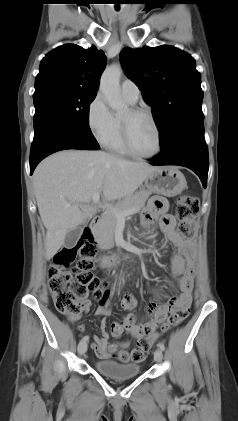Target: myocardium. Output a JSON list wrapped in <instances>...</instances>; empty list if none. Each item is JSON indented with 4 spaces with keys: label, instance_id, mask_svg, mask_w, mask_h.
<instances>
[{
    "label": "myocardium",
    "instance_id": "obj_1",
    "mask_svg": "<svg viewBox=\"0 0 238 421\" xmlns=\"http://www.w3.org/2000/svg\"><path fill=\"white\" fill-rule=\"evenodd\" d=\"M129 111L132 115H145L150 119V121L152 122V124H153V126L156 130V134H157V148H156L155 152H153L150 155H142V154L138 153L133 148V145L131 143L128 121L120 117L122 140H123V143H124L127 151L130 153V155L134 156L135 158L141 159V160H149V159H152V158L158 156L162 151V132H161L160 126H159L156 118L154 117V115L149 110L144 109V108L132 107V108L129 109Z\"/></svg>",
    "mask_w": 238,
    "mask_h": 421
}]
</instances>
